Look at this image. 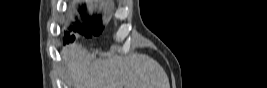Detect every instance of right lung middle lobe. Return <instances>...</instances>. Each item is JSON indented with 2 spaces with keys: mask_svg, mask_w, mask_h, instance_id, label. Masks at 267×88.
Instances as JSON below:
<instances>
[{
  "mask_svg": "<svg viewBox=\"0 0 267 88\" xmlns=\"http://www.w3.org/2000/svg\"><path fill=\"white\" fill-rule=\"evenodd\" d=\"M82 18L84 19V25L71 27L70 30L78 32L86 37H92L93 35L98 36L101 34L103 27L100 25V19H86L83 14ZM64 40H66V42H73L75 40V36H71L68 32H66Z\"/></svg>",
  "mask_w": 267,
  "mask_h": 88,
  "instance_id": "dd1d6c3e",
  "label": "right lung middle lobe"
}]
</instances>
